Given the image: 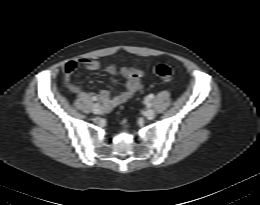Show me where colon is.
Segmentation results:
<instances>
[{"mask_svg": "<svg viewBox=\"0 0 260 205\" xmlns=\"http://www.w3.org/2000/svg\"><path fill=\"white\" fill-rule=\"evenodd\" d=\"M154 72L155 75L163 81L171 82L173 80V70L165 63L156 65Z\"/></svg>", "mask_w": 260, "mask_h": 205, "instance_id": "colon-1", "label": "colon"}]
</instances>
